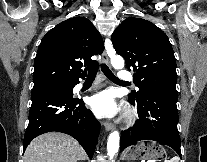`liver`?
Listing matches in <instances>:
<instances>
[{
	"mask_svg": "<svg viewBox=\"0 0 207 162\" xmlns=\"http://www.w3.org/2000/svg\"><path fill=\"white\" fill-rule=\"evenodd\" d=\"M86 152L77 140L59 132L42 134L28 145L24 162H77L85 160Z\"/></svg>",
	"mask_w": 207,
	"mask_h": 162,
	"instance_id": "1",
	"label": "liver"
}]
</instances>
